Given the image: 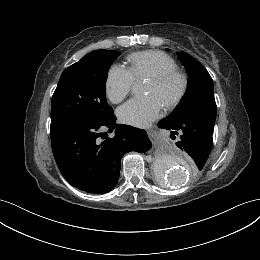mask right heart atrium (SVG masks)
I'll return each instance as SVG.
<instances>
[{"label":"right heart atrium","mask_w":260,"mask_h":260,"mask_svg":"<svg viewBox=\"0 0 260 260\" xmlns=\"http://www.w3.org/2000/svg\"><path fill=\"white\" fill-rule=\"evenodd\" d=\"M134 78L130 71L121 66L113 65L108 71L106 79V94L113 103L121 102L131 91Z\"/></svg>","instance_id":"d8ad5b80"}]
</instances>
